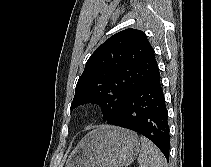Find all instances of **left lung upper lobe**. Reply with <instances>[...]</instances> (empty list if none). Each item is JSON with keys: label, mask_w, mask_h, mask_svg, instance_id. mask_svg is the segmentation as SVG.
Segmentation results:
<instances>
[{"label": "left lung upper lobe", "mask_w": 211, "mask_h": 167, "mask_svg": "<svg viewBox=\"0 0 211 167\" xmlns=\"http://www.w3.org/2000/svg\"><path fill=\"white\" fill-rule=\"evenodd\" d=\"M156 67L154 50L144 32L129 28L116 33L86 62L71 110L84 103H96L102 108L103 119L109 121Z\"/></svg>", "instance_id": "obj_1"}]
</instances>
